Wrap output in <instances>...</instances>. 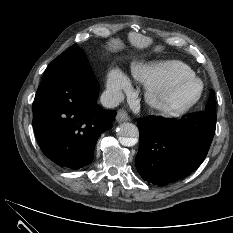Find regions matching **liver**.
<instances>
[{
  "label": "liver",
  "instance_id": "1",
  "mask_svg": "<svg viewBox=\"0 0 233 233\" xmlns=\"http://www.w3.org/2000/svg\"><path fill=\"white\" fill-rule=\"evenodd\" d=\"M130 40L133 45L138 47H143L148 44V40L145 37L137 34H132L130 36Z\"/></svg>",
  "mask_w": 233,
  "mask_h": 233
}]
</instances>
